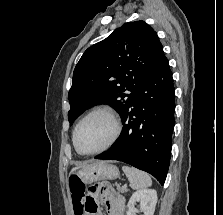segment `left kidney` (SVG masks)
Instances as JSON below:
<instances>
[{
  "label": "left kidney",
  "instance_id": "1",
  "mask_svg": "<svg viewBox=\"0 0 223 215\" xmlns=\"http://www.w3.org/2000/svg\"><path fill=\"white\" fill-rule=\"evenodd\" d=\"M136 201H140V209L144 215H153L157 203L156 189H137L132 193L127 205V215H136L138 209L135 207Z\"/></svg>",
  "mask_w": 223,
  "mask_h": 215
}]
</instances>
